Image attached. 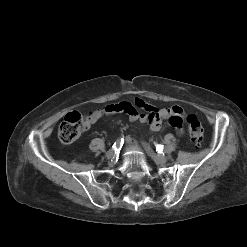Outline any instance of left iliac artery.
<instances>
[{
    "mask_svg": "<svg viewBox=\"0 0 247 247\" xmlns=\"http://www.w3.org/2000/svg\"><path fill=\"white\" fill-rule=\"evenodd\" d=\"M156 149H157V151H158L159 153H163V151H164L165 153H168V152L170 151L168 148H165L163 145H158V146L156 147Z\"/></svg>",
    "mask_w": 247,
    "mask_h": 247,
    "instance_id": "44dca946",
    "label": "left iliac artery"
}]
</instances>
